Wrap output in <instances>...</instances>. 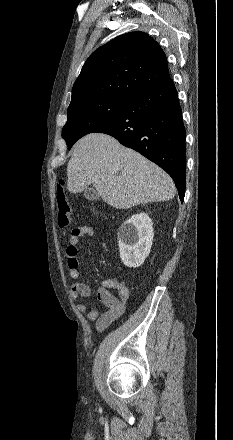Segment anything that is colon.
<instances>
[{
    "instance_id": "1",
    "label": "colon",
    "mask_w": 233,
    "mask_h": 440,
    "mask_svg": "<svg viewBox=\"0 0 233 440\" xmlns=\"http://www.w3.org/2000/svg\"><path fill=\"white\" fill-rule=\"evenodd\" d=\"M57 222L60 228L70 225V206L68 203L65 183L60 181L56 186Z\"/></svg>"
}]
</instances>
